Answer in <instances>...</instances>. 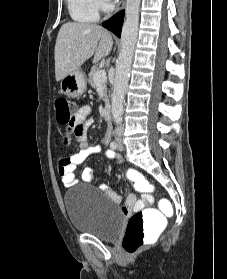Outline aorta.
<instances>
[{"label":"aorta","instance_id":"1","mask_svg":"<svg viewBox=\"0 0 227 279\" xmlns=\"http://www.w3.org/2000/svg\"><path fill=\"white\" fill-rule=\"evenodd\" d=\"M140 3L141 0H127L126 2L125 21L121 34V51L116 61V73L111 97L112 117L117 124L122 121L123 102L138 36Z\"/></svg>","mask_w":227,"mask_h":279}]
</instances>
